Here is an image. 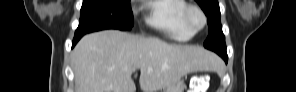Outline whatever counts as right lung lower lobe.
Listing matches in <instances>:
<instances>
[{"mask_svg":"<svg viewBox=\"0 0 296 92\" xmlns=\"http://www.w3.org/2000/svg\"><path fill=\"white\" fill-rule=\"evenodd\" d=\"M81 37L80 36H76L74 37V40H73V46L77 43V41L80 39Z\"/></svg>","mask_w":296,"mask_h":92,"instance_id":"right-lung-lower-lobe-1","label":"right lung lower lobe"}]
</instances>
